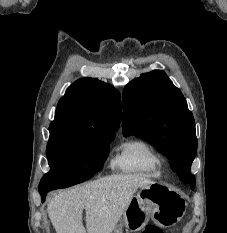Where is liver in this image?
Returning <instances> with one entry per match:
<instances>
[{
    "instance_id": "6515ba94",
    "label": "liver",
    "mask_w": 227,
    "mask_h": 233,
    "mask_svg": "<svg viewBox=\"0 0 227 233\" xmlns=\"http://www.w3.org/2000/svg\"><path fill=\"white\" fill-rule=\"evenodd\" d=\"M153 183L138 174L106 176L55 195L47 212L56 233H112L134 193Z\"/></svg>"
}]
</instances>
